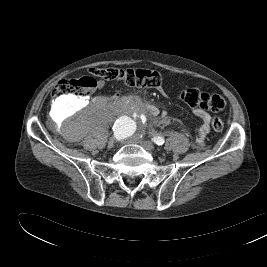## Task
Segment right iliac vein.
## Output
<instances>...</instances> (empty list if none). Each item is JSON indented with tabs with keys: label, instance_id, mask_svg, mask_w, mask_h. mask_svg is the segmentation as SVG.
Wrapping results in <instances>:
<instances>
[{
	"label": "right iliac vein",
	"instance_id": "obj_1",
	"mask_svg": "<svg viewBox=\"0 0 267 267\" xmlns=\"http://www.w3.org/2000/svg\"><path fill=\"white\" fill-rule=\"evenodd\" d=\"M115 142H116V139L114 137L110 138V140L108 141V147L112 148Z\"/></svg>",
	"mask_w": 267,
	"mask_h": 267
}]
</instances>
